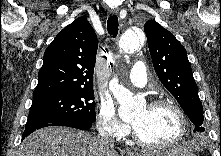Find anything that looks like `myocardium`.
I'll return each mask as SVG.
<instances>
[{
  "mask_svg": "<svg viewBox=\"0 0 221 156\" xmlns=\"http://www.w3.org/2000/svg\"><path fill=\"white\" fill-rule=\"evenodd\" d=\"M148 106L150 108H158V107L166 106V107L173 109L174 112L177 114L179 122H180L179 132L173 140H171L167 143H151V142L145 141L139 135L137 129L133 125V138H134V140L140 146L145 147V148H150V149H166V148L173 147V146L177 145L178 143H180L184 139V137L186 136L187 131H188V119H187V116H186L184 110L181 108V106L178 103H176L174 100L165 99V98L156 99V100L150 102Z\"/></svg>",
  "mask_w": 221,
  "mask_h": 156,
  "instance_id": "1",
  "label": "myocardium"
}]
</instances>
